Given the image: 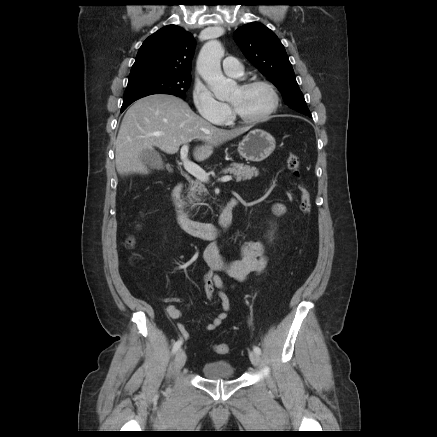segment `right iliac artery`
I'll list each match as a JSON object with an SVG mask.
<instances>
[{
  "instance_id": "1",
  "label": "right iliac artery",
  "mask_w": 437,
  "mask_h": 437,
  "mask_svg": "<svg viewBox=\"0 0 437 437\" xmlns=\"http://www.w3.org/2000/svg\"><path fill=\"white\" fill-rule=\"evenodd\" d=\"M181 345H182V340H178V341L174 344L173 349H172V352H173V353H176V352L180 349Z\"/></svg>"
}]
</instances>
